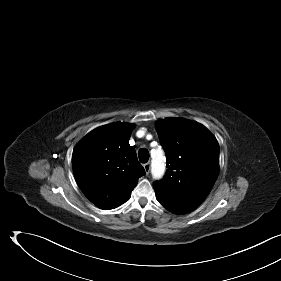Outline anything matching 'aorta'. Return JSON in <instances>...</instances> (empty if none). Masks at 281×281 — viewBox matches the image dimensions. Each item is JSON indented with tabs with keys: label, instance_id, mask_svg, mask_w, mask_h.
<instances>
[{
	"label": "aorta",
	"instance_id": "762f6f07",
	"mask_svg": "<svg viewBox=\"0 0 281 281\" xmlns=\"http://www.w3.org/2000/svg\"><path fill=\"white\" fill-rule=\"evenodd\" d=\"M165 157L162 149L158 148L152 152L151 173L153 178L160 179L165 173Z\"/></svg>",
	"mask_w": 281,
	"mask_h": 281
}]
</instances>
